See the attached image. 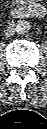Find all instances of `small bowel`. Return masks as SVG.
I'll use <instances>...</instances> for the list:
<instances>
[{
	"label": "small bowel",
	"instance_id": "1",
	"mask_svg": "<svg viewBox=\"0 0 47 129\" xmlns=\"http://www.w3.org/2000/svg\"><path fill=\"white\" fill-rule=\"evenodd\" d=\"M12 2H16L17 0H11Z\"/></svg>",
	"mask_w": 47,
	"mask_h": 129
}]
</instances>
